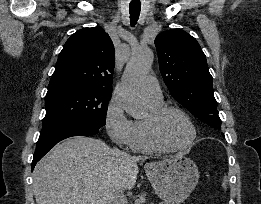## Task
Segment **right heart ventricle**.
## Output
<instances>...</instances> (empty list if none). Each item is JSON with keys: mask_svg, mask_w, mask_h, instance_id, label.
Masks as SVG:
<instances>
[{"mask_svg": "<svg viewBox=\"0 0 261 204\" xmlns=\"http://www.w3.org/2000/svg\"><path fill=\"white\" fill-rule=\"evenodd\" d=\"M147 101V100H146ZM150 112L163 106V101H147ZM131 147L145 152H166L168 149L159 145L152 137L146 119L133 121V136Z\"/></svg>", "mask_w": 261, "mask_h": 204, "instance_id": "1", "label": "right heart ventricle"}]
</instances>
